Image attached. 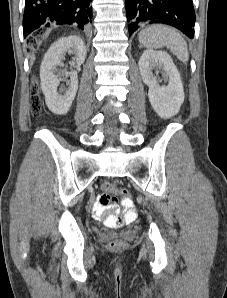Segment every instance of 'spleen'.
<instances>
[{
	"label": "spleen",
	"instance_id": "3e777b00",
	"mask_svg": "<svg viewBox=\"0 0 227 298\" xmlns=\"http://www.w3.org/2000/svg\"><path fill=\"white\" fill-rule=\"evenodd\" d=\"M139 42L149 49H159L166 46L182 62L189 58L187 43L174 29L165 25H151L138 34Z\"/></svg>",
	"mask_w": 227,
	"mask_h": 298
}]
</instances>
